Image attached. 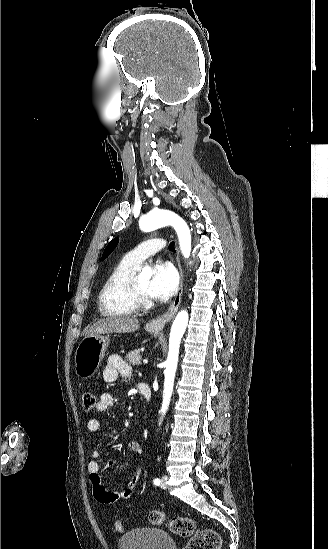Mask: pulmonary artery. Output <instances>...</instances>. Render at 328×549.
<instances>
[{
  "label": "pulmonary artery",
  "instance_id": "obj_1",
  "mask_svg": "<svg viewBox=\"0 0 328 549\" xmlns=\"http://www.w3.org/2000/svg\"><path fill=\"white\" fill-rule=\"evenodd\" d=\"M162 237H151L150 241H142L140 246H135L127 256L130 260L141 263L148 257H154L164 246Z\"/></svg>",
  "mask_w": 328,
  "mask_h": 549
}]
</instances>
